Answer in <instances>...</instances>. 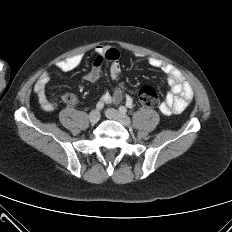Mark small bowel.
Returning a JSON list of instances; mask_svg holds the SVG:
<instances>
[{
  "instance_id": "small-bowel-1",
  "label": "small bowel",
  "mask_w": 232,
  "mask_h": 232,
  "mask_svg": "<svg viewBox=\"0 0 232 232\" xmlns=\"http://www.w3.org/2000/svg\"><path fill=\"white\" fill-rule=\"evenodd\" d=\"M95 52L96 57L90 70L83 75V79L91 83H98L102 75L105 61L110 62V77L114 80L118 79L121 74L119 52L114 48L104 45H98L95 48ZM82 61L83 55L76 54L57 62L56 68L62 72H69L79 67ZM147 64L151 68L163 72L170 85V91L166 94L165 100L159 107L160 112L165 115H170L184 111L193 99V89L191 85L184 80L182 74L173 65L160 58L148 57ZM50 79V73L44 72L40 75L34 86V92L38 102L45 111H52L55 108V104L46 94V85ZM122 100H125L128 106L132 105L133 100L130 96L124 94L122 83L111 92L105 91L101 97V102L105 104L119 103ZM62 101L67 105L74 106L77 104V97L73 93H66L62 95Z\"/></svg>"
}]
</instances>
